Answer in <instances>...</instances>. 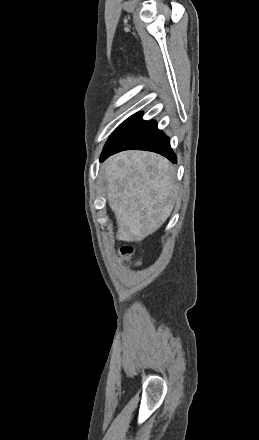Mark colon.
Returning <instances> with one entry per match:
<instances>
[{
  "instance_id": "5ec220e1",
  "label": "colon",
  "mask_w": 259,
  "mask_h": 440,
  "mask_svg": "<svg viewBox=\"0 0 259 440\" xmlns=\"http://www.w3.org/2000/svg\"><path fill=\"white\" fill-rule=\"evenodd\" d=\"M121 256L125 259V260H130L132 258L133 255V248L130 246H124L121 248Z\"/></svg>"
}]
</instances>
